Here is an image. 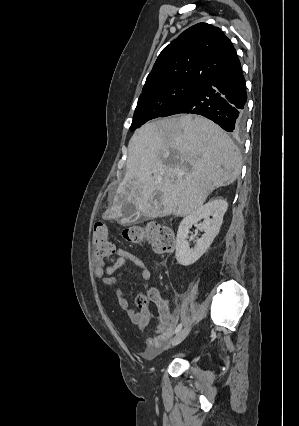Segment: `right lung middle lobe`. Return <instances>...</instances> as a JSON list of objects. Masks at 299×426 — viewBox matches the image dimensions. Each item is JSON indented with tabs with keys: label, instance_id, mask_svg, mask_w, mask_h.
Returning a JSON list of instances; mask_svg holds the SVG:
<instances>
[{
	"label": "right lung middle lobe",
	"instance_id": "dd1d6c3e",
	"mask_svg": "<svg viewBox=\"0 0 299 426\" xmlns=\"http://www.w3.org/2000/svg\"><path fill=\"white\" fill-rule=\"evenodd\" d=\"M198 87L189 83H169L143 91L139 97L130 130L134 131L147 121L161 117L169 108Z\"/></svg>",
	"mask_w": 299,
	"mask_h": 426
}]
</instances>
